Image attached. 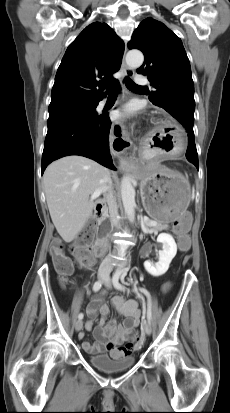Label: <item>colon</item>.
<instances>
[{"mask_svg": "<svg viewBox=\"0 0 230 413\" xmlns=\"http://www.w3.org/2000/svg\"><path fill=\"white\" fill-rule=\"evenodd\" d=\"M190 224V217L187 214H183L174 224V228L180 233L178 251L187 252L192 246L190 237L186 235L187 229ZM94 240V228L90 225L85 231H83L77 240L75 241L73 250L75 257L84 264H88L92 261V257L89 252V247ZM50 256L59 276L66 281L73 271V264L71 260L65 255L62 244L54 242L50 248ZM164 289L169 290L172 287L171 282L166 281L163 284ZM140 338V335H137ZM136 344L132 342L128 343L125 347V351L131 352Z\"/></svg>", "mask_w": 230, "mask_h": 413, "instance_id": "obj_1", "label": "colon"}]
</instances>
